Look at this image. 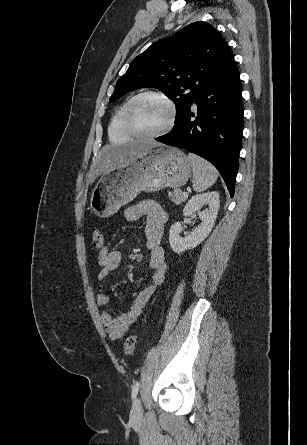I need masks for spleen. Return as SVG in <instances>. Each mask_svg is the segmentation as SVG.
Wrapping results in <instances>:
<instances>
[{
	"mask_svg": "<svg viewBox=\"0 0 307 445\" xmlns=\"http://www.w3.org/2000/svg\"><path fill=\"white\" fill-rule=\"evenodd\" d=\"M188 158H190L193 166V188L196 192H202L206 190L209 186H212L218 178V170L210 164L208 160H204L201 156L197 154H192L189 152Z\"/></svg>",
	"mask_w": 307,
	"mask_h": 445,
	"instance_id": "spleen-1",
	"label": "spleen"
}]
</instances>
